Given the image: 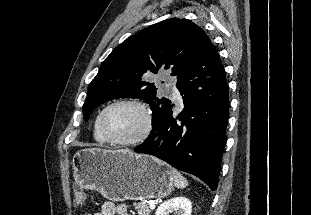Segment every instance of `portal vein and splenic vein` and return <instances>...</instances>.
<instances>
[{"label": "portal vein and splenic vein", "mask_w": 311, "mask_h": 215, "mask_svg": "<svg viewBox=\"0 0 311 215\" xmlns=\"http://www.w3.org/2000/svg\"><path fill=\"white\" fill-rule=\"evenodd\" d=\"M149 207H150L151 209H154V208H155V204H154V203H149Z\"/></svg>", "instance_id": "1"}]
</instances>
